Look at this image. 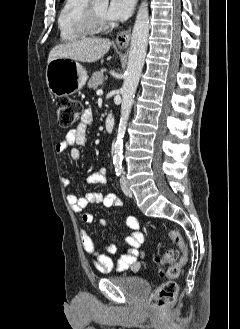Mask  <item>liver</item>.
<instances>
[{
    "instance_id": "1",
    "label": "liver",
    "mask_w": 240,
    "mask_h": 329,
    "mask_svg": "<svg viewBox=\"0 0 240 329\" xmlns=\"http://www.w3.org/2000/svg\"><path fill=\"white\" fill-rule=\"evenodd\" d=\"M111 41L101 38H85L56 45L51 49L48 63L56 58L92 63L101 59L110 49Z\"/></svg>"
}]
</instances>
